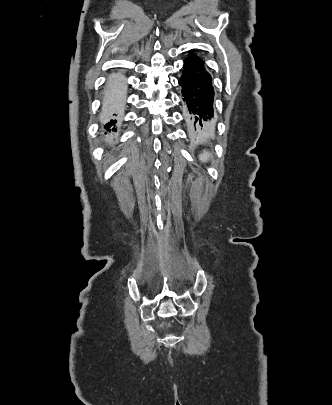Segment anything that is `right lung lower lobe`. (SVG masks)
I'll return each mask as SVG.
<instances>
[{
  "instance_id": "98d812e1",
  "label": "right lung lower lobe",
  "mask_w": 332,
  "mask_h": 405,
  "mask_svg": "<svg viewBox=\"0 0 332 405\" xmlns=\"http://www.w3.org/2000/svg\"><path fill=\"white\" fill-rule=\"evenodd\" d=\"M107 87L108 93L104 99L103 108L107 113L116 115L123 106L125 85L122 80L114 79L107 85ZM115 123L116 120L111 119L105 123L104 127L109 132L115 131V128L113 127Z\"/></svg>"
}]
</instances>
